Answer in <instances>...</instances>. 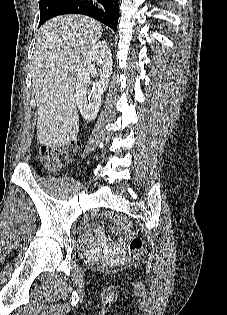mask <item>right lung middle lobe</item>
<instances>
[{"mask_svg":"<svg viewBox=\"0 0 227 315\" xmlns=\"http://www.w3.org/2000/svg\"><path fill=\"white\" fill-rule=\"evenodd\" d=\"M60 0H40V25L49 19V11L58 4Z\"/></svg>","mask_w":227,"mask_h":315,"instance_id":"right-lung-middle-lobe-1","label":"right lung middle lobe"}]
</instances>
